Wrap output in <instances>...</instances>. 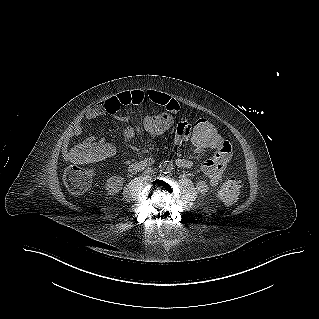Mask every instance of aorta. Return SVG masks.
<instances>
[{
	"mask_svg": "<svg viewBox=\"0 0 319 319\" xmlns=\"http://www.w3.org/2000/svg\"><path fill=\"white\" fill-rule=\"evenodd\" d=\"M162 167L167 172L172 169V165L168 161L163 162L162 163Z\"/></svg>",
	"mask_w": 319,
	"mask_h": 319,
	"instance_id": "1",
	"label": "aorta"
}]
</instances>
